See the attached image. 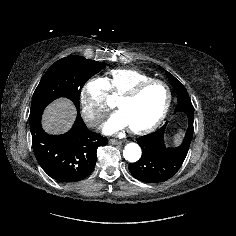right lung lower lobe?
Returning a JSON list of instances; mask_svg holds the SVG:
<instances>
[{"instance_id": "obj_1", "label": "right lung lower lobe", "mask_w": 236, "mask_h": 236, "mask_svg": "<svg viewBox=\"0 0 236 236\" xmlns=\"http://www.w3.org/2000/svg\"><path fill=\"white\" fill-rule=\"evenodd\" d=\"M42 112L30 114V130L35 157L43 170L63 183L77 182L93 171L97 148L108 139L87 129L80 113L72 129L62 135H49L41 125Z\"/></svg>"}]
</instances>
